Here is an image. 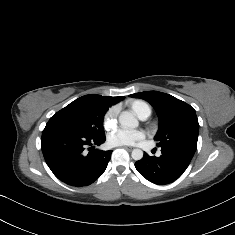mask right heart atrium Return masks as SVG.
Masks as SVG:
<instances>
[{"instance_id":"d8ad5b80","label":"right heart atrium","mask_w":235,"mask_h":235,"mask_svg":"<svg viewBox=\"0 0 235 235\" xmlns=\"http://www.w3.org/2000/svg\"><path fill=\"white\" fill-rule=\"evenodd\" d=\"M119 109L117 106L110 107L103 117V125L106 129H112L117 122Z\"/></svg>"}]
</instances>
